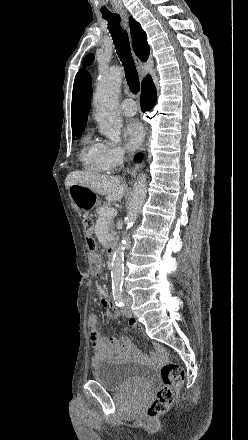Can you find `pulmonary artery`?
<instances>
[{
	"label": "pulmonary artery",
	"mask_w": 248,
	"mask_h": 440,
	"mask_svg": "<svg viewBox=\"0 0 248 440\" xmlns=\"http://www.w3.org/2000/svg\"><path fill=\"white\" fill-rule=\"evenodd\" d=\"M121 112L125 116H133L137 112V105L134 100L128 98L121 103Z\"/></svg>",
	"instance_id": "e3ab8cb5"
}]
</instances>
